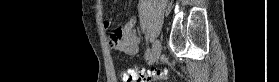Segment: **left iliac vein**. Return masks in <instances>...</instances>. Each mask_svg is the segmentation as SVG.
I'll use <instances>...</instances> for the list:
<instances>
[{
    "label": "left iliac vein",
    "mask_w": 279,
    "mask_h": 82,
    "mask_svg": "<svg viewBox=\"0 0 279 82\" xmlns=\"http://www.w3.org/2000/svg\"><path fill=\"white\" fill-rule=\"evenodd\" d=\"M162 46L160 40H155L152 49L150 52V59H149V64H154L155 62L158 61L160 54H161Z\"/></svg>",
    "instance_id": "obj_1"
}]
</instances>
